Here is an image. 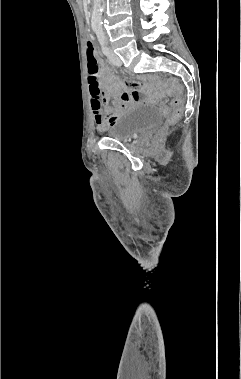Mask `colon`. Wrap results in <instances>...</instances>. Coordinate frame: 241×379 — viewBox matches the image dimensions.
I'll return each mask as SVG.
<instances>
[{"label":"colon","instance_id":"obj_1","mask_svg":"<svg viewBox=\"0 0 241 379\" xmlns=\"http://www.w3.org/2000/svg\"><path fill=\"white\" fill-rule=\"evenodd\" d=\"M86 58H87V68H88V88L89 89H99L97 83V75L99 71L98 59L96 57L94 46L91 42L87 43L86 47ZM159 110H166L168 112L167 124L174 123L182 114L183 100L175 99L171 103V109H167L166 103L158 104Z\"/></svg>","mask_w":241,"mask_h":379}]
</instances>
